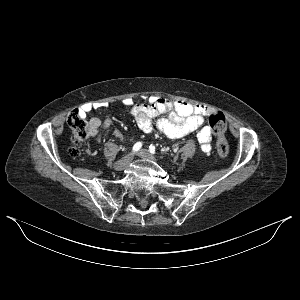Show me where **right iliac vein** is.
Returning <instances> with one entry per match:
<instances>
[{
    "label": "right iliac vein",
    "instance_id": "obj_1",
    "mask_svg": "<svg viewBox=\"0 0 300 300\" xmlns=\"http://www.w3.org/2000/svg\"><path fill=\"white\" fill-rule=\"evenodd\" d=\"M132 159H133V154H128L124 156L122 159L118 160L115 163L114 165L115 169L118 171L124 170L128 166V164L132 161Z\"/></svg>",
    "mask_w": 300,
    "mask_h": 300
}]
</instances>
